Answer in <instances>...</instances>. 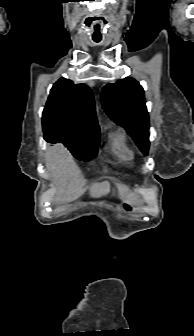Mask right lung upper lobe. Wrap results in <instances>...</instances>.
I'll use <instances>...</instances> for the list:
<instances>
[{
	"label": "right lung upper lobe",
	"mask_w": 194,
	"mask_h": 336,
	"mask_svg": "<svg viewBox=\"0 0 194 336\" xmlns=\"http://www.w3.org/2000/svg\"><path fill=\"white\" fill-rule=\"evenodd\" d=\"M42 121L44 138L49 143L71 136L99 139L94 98L85 84L59 79L50 91Z\"/></svg>",
	"instance_id": "1"
}]
</instances>
